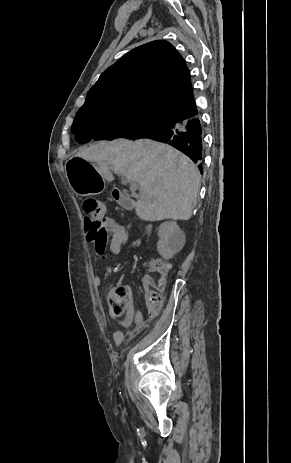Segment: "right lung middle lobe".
<instances>
[{
  "label": "right lung middle lobe",
  "mask_w": 291,
  "mask_h": 463,
  "mask_svg": "<svg viewBox=\"0 0 291 463\" xmlns=\"http://www.w3.org/2000/svg\"><path fill=\"white\" fill-rule=\"evenodd\" d=\"M165 122V117L140 108L119 106L87 107L79 109L71 131L79 143L91 139H138Z\"/></svg>",
  "instance_id": "right-lung-middle-lobe-1"
}]
</instances>
